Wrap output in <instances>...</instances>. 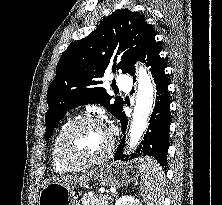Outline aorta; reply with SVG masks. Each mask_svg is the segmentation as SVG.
I'll return each mask as SVG.
<instances>
[{
  "instance_id": "obj_1",
  "label": "aorta",
  "mask_w": 222,
  "mask_h": 205,
  "mask_svg": "<svg viewBox=\"0 0 222 205\" xmlns=\"http://www.w3.org/2000/svg\"><path fill=\"white\" fill-rule=\"evenodd\" d=\"M138 72V88L132 122L129 129L128 149H135L148 127L149 114L154 104V86L146 68L140 66Z\"/></svg>"
}]
</instances>
